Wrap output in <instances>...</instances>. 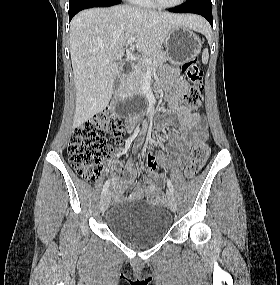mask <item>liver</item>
<instances>
[{"label":"liver","instance_id":"6515ba94","mask_svg":"<svg viewBox=\"0 0 280 285\" xmlns=\"http://www.w3.org/2000/svg\"><path fill=\"white\" fill-rule=\"evenodd\" d=\"M202 31L205 21L196 15H177L129 5L94 8L78 13L70 23V55L76 89L73 127H79L108 105L119 72L118 60L126 41L136 38L138 53L160 51L175 26Z\"/></svg>","mask_w":280,"mask_h":285}]
</instances>
